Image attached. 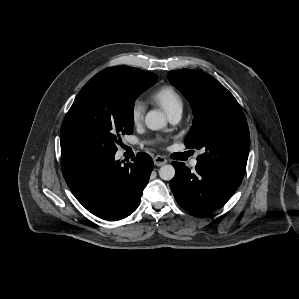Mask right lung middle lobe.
<instances>
[{"label": "right lung middle lobe", "instance_id": "obj_1", "mask_svg": "<svg viewBox=\"0 0 299 299\" xmlns=\"http://www.w3.org/2000/svg\"><path fill=\"white\" fill-rule=\"evenodd\" d=\"M152 82H135L122 72L103 70L81 89L62 124L61 151L114 155L121 134H132L136 98Z\"/></svg>", "mask_w": 299, "mask_h": 299}]
</instances>
